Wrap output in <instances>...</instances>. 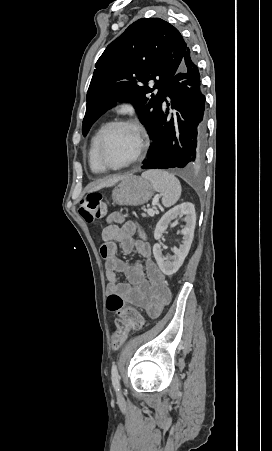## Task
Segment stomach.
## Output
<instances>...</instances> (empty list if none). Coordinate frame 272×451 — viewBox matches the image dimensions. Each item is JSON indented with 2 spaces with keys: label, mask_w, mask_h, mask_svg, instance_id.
<instances>
[{
  "label": "stomach",
  "mask_w": 272,
  "mask_h": 451,
  "mask_svg": "<svg viewBox=\"0 0 272 451\" xmlns=\"http://www.w3.org/2000/svg\"><path fill=\"white\" fill-rule=\"evenodd\" d=\"M154 190L147 180L128 174L112 192V200L118 206H142L152 198Z\"/></svg>",
  "instance_id": "obj_1"
}]
</instances>
